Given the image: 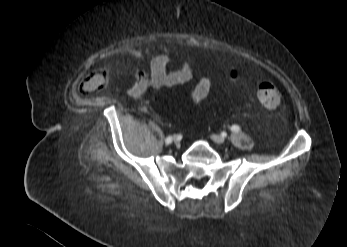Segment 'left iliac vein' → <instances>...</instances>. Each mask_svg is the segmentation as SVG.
<instances>
[{
    "mask_svg": "<svg viewBox=\"0 0 347 247\" xmlns=\"http://www.w3.org/2000/svg\"><path fill=\"white\" fill-rule=\"evenodd\" d=\"M211 139L218 144H223L225 142V138L217 134H212Z\"/></svg>",
    "mask_w": 347,
    "mask_h": 247,
    "instance_id": "1",
    "label": "left iliac vein"
}]
</instances>
